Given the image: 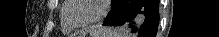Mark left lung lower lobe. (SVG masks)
I'll return each instance as SVG.
<instances>
[{"label":"left lung lower lobe","instance_id":"obj_1","mask_svg":"<svg viewBox=\"0 0 219 37\" xmlns=\"http://www.w3.org/2000/svg\"><path fill=\"white\" fill-rule=\"evenodd\" d=\"M104 25H125L135 37H155L159 25V0H117Z\"/></svg>","mask_w":219,"mask_h":37}]
</instances>
